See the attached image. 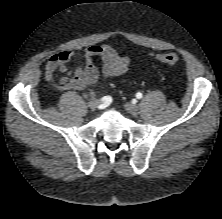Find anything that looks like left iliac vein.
<instances>
[{"mask_svg": "<svg viewBox=\"0 0 222 219\" xmlns=\"http://www.w3.org/2000/svg\"><path fill=\"white\" fill-rule=\"evenodd\" d=\"M125 109L127 112H129L130 114H137L138 113V106L132 103H126L125 105Z\"/></svg>", "mask_w": 222, "mask_h": 219, "instance_id": "obj_1", "label": "left iliac vein"}]
</instances>
